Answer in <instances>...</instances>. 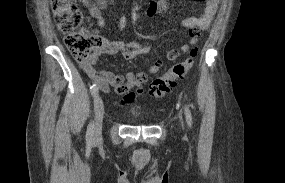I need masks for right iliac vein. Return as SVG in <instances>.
<instances>
[{"mask_svg": "<svg viewBox=\"0 0 285 183\" xmlns=\"http://www.w3.org/2000/svg\"><path fill=\"white\" fill-rule=\"evenodd\" d=\"M94 111H95V118H94V138H99L102 132V123H103V116H104V104L99 95H95L94 98Z\"/></svg>", "mask_w": 285, "mask_h": 183, "instance_id": "obj_1", "label": "right iliac vein"}]
</instances>
